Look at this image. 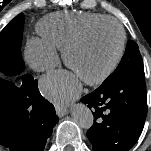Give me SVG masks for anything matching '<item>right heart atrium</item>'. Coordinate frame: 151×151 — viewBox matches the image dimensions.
I'll list each match as a JSON object with an SVG mask.
<instances>
[{
    "label": "right heart atrium",
    "instance_id": "d8ad5b80",
    "mask_svg": "<svg viewBox=\"0 0 151 151\" xmlns=\"http://www.w3.org/2000/svg\"><path fill=\"white\" fill-rule=\"evenodd\" d=\"M25 55L29 65L39 72L53 68L58 59L56 48L40 38H31L28 41Z\"/></svg>",
    "mask_w": 151,
    "mask_h": 151
}]
</instances>
